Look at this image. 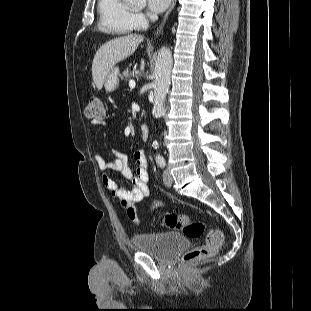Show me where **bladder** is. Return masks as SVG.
<instances>
[{
	"label": "bladder",
	"mask_w": 311,
	"mask_h": 311,
	"mask_svg": "<svg viewBox=\"0 0 311 311\" xmlns=\"http://www.w3.org/2000/svg\"><path fill=\"white\" fill-rule=\"evenodd\" d=\"M131 242L136 251L150 253L161 261H171L189 246L187 236L178 232L137 233Z\"/></svg>",
	"instance_id": "obj_1"
}]
</instances>
